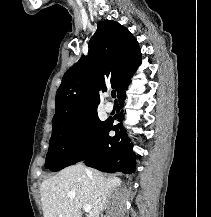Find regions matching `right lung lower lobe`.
<instances>
[{
  "label": "right lung lower lobe",
  "instance_id": "98d812e1",
  "mask_svg": "<svg viewBox=\"0 0 211 217\" xmlns=\"http://www.w3.org/2000/svg\"><path fill=\"white\" fill-rule=\"evenodd\" d=\"M125 89L118 97L121 107L125 99ZM115 120L121 122V114L107 120V126L101 141L83 160H85L87 166L103 172L131 174L135 171V157L132 152V144L129 142L122 125L120 123L113 124ZM111 130L116 133L113 137L109 136V131Z\"/></svg>",
  "mask_w": 211,
  "mask_h": 217
}]
</instances>
